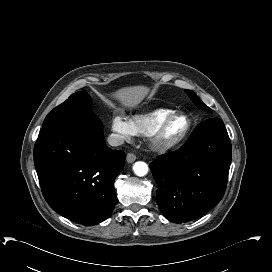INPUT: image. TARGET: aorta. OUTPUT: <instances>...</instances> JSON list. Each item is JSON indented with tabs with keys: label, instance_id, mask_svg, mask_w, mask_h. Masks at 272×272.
Instances as JSON below:
<instances>
[{
	"label": "aorta",
	"instance_id": "obj_1",
	"mask_svg": "<svg viewBox=\"0 0 272 272\" xmlns=\"http://www.w3.org/2000/svg\"><path fill=\"white\" fill-rule=\"evenodd\" d=\"M133 171L137 176H145L148 173V165L145 162H136L133 165Z\"/></svg>",
	"mask_w": 272,
	"mask_h": 272
}]
</instances>
